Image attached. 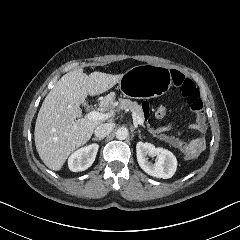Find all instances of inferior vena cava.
<instances>
[{"mask_svg": "<svg viewBox=\"0 0 240 240\" xmlns=\"http://www.w3.org/2000/svg\"><path fill=\"white\" fill-rule=\"evenodd\" d=\"M114 123H104L100 124L94 131V134L97 138L103 139L109 135L114 129Z\"/></svg>", "mask_w": 240, "mask_h": 240, "instance_id": "obj_1", "label": "inferior vena cava"}]
</instances>
